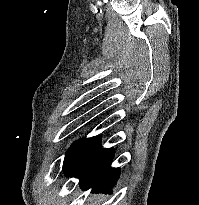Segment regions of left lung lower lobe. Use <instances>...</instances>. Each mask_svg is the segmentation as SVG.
<instances>
[{
    "label": "left lung lower lobe",
    "mask_w": 199,
    "mask_h": 205,
    "mask_svg": "<svg viewBox=\"0 0 199 205\" xmlns=\"http://www.w3.org/2000/svg\"><path fill=\"white\" fill-rule=\"evenodd\" d=\"M114 149H103L100 137L88 138L81 149L73 167L67 174L79 178L83 190L92 188V192H107L119 177V168H111Z\"/></svg>",
    "instance_id": "0a47b994"
}]
</instances>
